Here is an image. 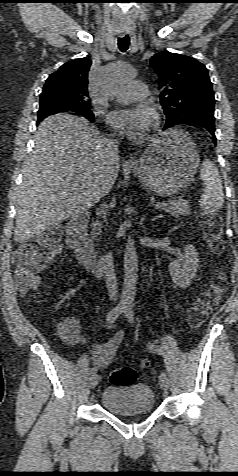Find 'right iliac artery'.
Masks as SVG:
<instances>
[{
    "label": "right iliac artery",
    "mask_w": 238,
    "mask_h": 476,
    "mask_svg": "<svg viewBox=\"0 0 238 476\" xmlns=\"http://www.w3.org/2000/svg\"><path fill=\"white\" fill-rule=\"evenodd\" d=\"M125 305L123 304H118L114 309H112L108 315H107V323L112 324L115 322V320L124 312ZM97 369L95 367H92L90 369V374H95Z\"/></svg>",
    "instance_id": "right-iliac-artery-1"
}]
</instances>
